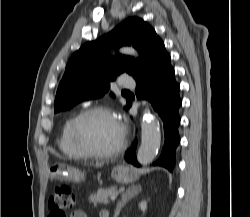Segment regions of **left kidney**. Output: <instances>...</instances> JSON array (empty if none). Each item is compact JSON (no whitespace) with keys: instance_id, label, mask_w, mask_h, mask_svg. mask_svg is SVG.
<instances>
[{"instance_id":"1","label":"left kidney","mask_w":250,"mask_h":217,"mask_svg":"<svg viewBox=\"0 0 250 217\" xmlns=\"http://www.w3.org/2000/svg\"><path fill=\"white\" fill-rule=\"evenodd\" d=\"M140 209L145 212L147 209V202L146 201H142L139 205Z\"/></svg>"}]
</instances>
